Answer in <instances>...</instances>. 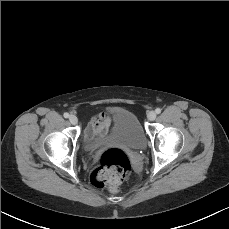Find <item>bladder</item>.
<instances>
[{
	"label": "bladder",
	"mask_w": 229,
	"mask_h": 229,
	"mask_svg": "<svg viewBox=\"0 0 229 229\" xmlns=\"http://www.w3.org/2000/svg\"><path fill=\"white\" fill-rule=\"evenodd\" d=\"M117 143L133 150H144L147 146V136L136 115L127 109H115L111 129L106 134L84 137L83 147L86 152Z\"/></svg>",
	"instance_id": "31cf9c89"
}]
</instances>
